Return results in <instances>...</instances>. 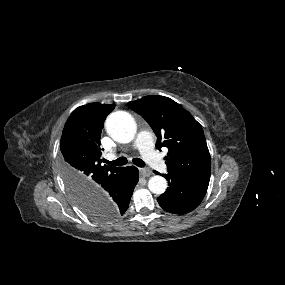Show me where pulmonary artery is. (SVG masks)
Returning a JSON list of instances; mask_svg holds the SVG:
<instances>
[{
	"instance_id": "pulmonary-artery-1",
	"label": "pulmonary artery",
	"mask_w": 285,
	"mask_h": 285,
	"mask_svg": "<svg viewBox=\"0 0 285 285\" xmlns=\"http://www.w3.org/2000/svg\"><path fill=\"white\" fill-rule=\"evenodd\" d=\"M133 146L140 152L143 159L152 168L159 172H166L167 165L162 159V157L154 150L153 136L150 132L146 130H140L135 138ZM115 154L107 155V159L113 160Z\"/></svg>"
}]
</instances>
